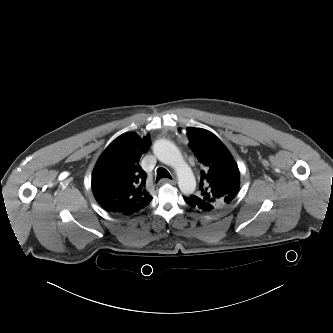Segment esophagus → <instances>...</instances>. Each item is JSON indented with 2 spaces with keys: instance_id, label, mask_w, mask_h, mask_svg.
I'll use <instances>...</instances> for the list:
<instances>
[{
  "instance_id": "34e87169",
  "label": "esophagus",
  "mask_w": 333,
  "mask_h": 333,
  "mask_svg": "<svg viewBox=\"0 0 333 333\" xmlns=\"http://www.w3.org/2000/svg\"><path fill=\"white\" fill-rule=\"evenodd\" d=\"M160 183L164 184V183H168V184H176V179H168V178H163Z\"/></svg>"
}]
</instances>
